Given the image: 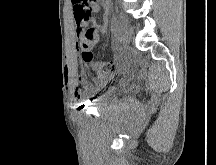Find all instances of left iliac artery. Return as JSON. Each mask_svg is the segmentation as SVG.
I'll return each mask as SVG.
<instances>
[{
	"mask_svg": "<svg viewBox=\"0 0 216 165\" xmlns=\"http://www.w3.org/2000/svg\"><path fill=\"white\" fill-rule=\"evenodd\" d=\"M117 22H118L117 17L115 15H113L112 21H111V23H112V30L113 31H115V28L117 26Z\"/></svg>",
	"mask_w": 216,
	"mask_h": 165,
	"instance_id": "44dca946",
	"label": "left iliac artery"
}]
</instances>
